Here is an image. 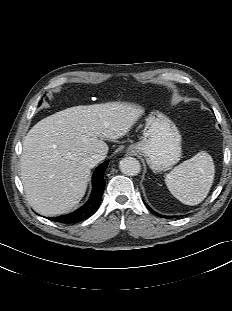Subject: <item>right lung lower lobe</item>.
Wrapping results in <instances>:
<instances>
[{"instance_id": "1", "label": "right lung lower lobe", "mask_w": 232, "mask_h": 311, "mask_svg": "<svg viewBox=\"0 0 232 311\" xmlns=\"http://www.w3.org/2000/svg\"><path fill=\"white\" fill-rule=\"evenodd\" d=\"M109 161H105L103 164H101L94 172L93 177H92V193L90 196V199L88 202L83 205L81 208L78 210L67 214L63 216H58V217H53V218H48L49 220L59 222V223H67V224H74L81 222L90 216H92L98 209L104 186H105V180L103 178V173L104 170L106 169Z\"/></svg>"}]
</instances>
